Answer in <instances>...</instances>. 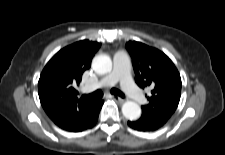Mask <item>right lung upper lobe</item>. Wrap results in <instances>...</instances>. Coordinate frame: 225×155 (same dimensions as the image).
<instances>
[{"instance_id":"obj_1","label":"right lung upper lobe","mask_w":225,"mask_h":155,"mask_svg":"<svg viewBox=\"0 0 225 155\" xmlns=\"http://www.w3.org/2000/svg\"><path fill=\"white\" fill-rule=\"evenodd\" d=\"M100 43L78 41L61 49L44 67L38 82L41 105L49 118L67 131L80 130L94 109L96 100L78 98L76 86L91 66Z\"/></svg>"}]
</instances>
